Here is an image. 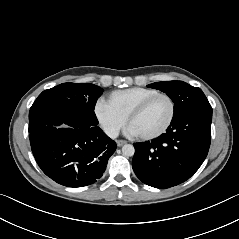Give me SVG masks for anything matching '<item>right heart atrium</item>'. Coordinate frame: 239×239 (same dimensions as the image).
Segmentation results:
<instances>
[{
  "mask_svg": "<svg viewBox=\"0 0 239 239\" xmlns=\"http://www.w3.org/2000/svg\"><path fill=\"white\" fill-rule=\"evenodd\" d=\"M95 114L104 131L111 137L117 136L126 123V117L109 106L104 100L97 102Z\"/></svg>",
  "mask_w": 239,
  "mask_h": 239,
  "instance_id": "d8ad5b80",
  "label": "right heart atrium"
}]
</instances>
